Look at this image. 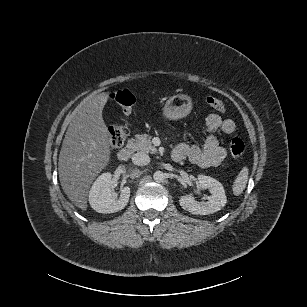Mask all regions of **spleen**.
Returning <instances> with one entry per match:
<instances>
[{
	"instance_id": "3e777b00",
	"label": "spleen",
	"mask_w": 307,
	"mask_h": 307,
	"mask_svg": "<svg viewBox=\"0 0 307 307\" xmlns=\"http://www.w3.org/2000/svg\"><path fill=\"white\" fill-rule=\"evenodd\" d=\"M249 179V166L244 165L242 169L239 171L237 176L234 178V182L232 184V192L235 196H239L245 190Z\"/></svg>"
}]
</instances>
